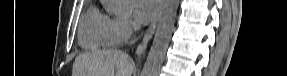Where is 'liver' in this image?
Wrapping results in <instances>:
<instances>
[{"instance_id":"liver-1","label":"liver","mask_w":287,"mask_h":76,"mask_svg":"<svg viewBox=\"0 0 287 76\" xmlns=\"http://www.w3.org/2000/svg\"><path fill=\"white\" fill-rule=\"evenodd\" d=\"M133 70L134 63L126 53L107 49L77 57L73 76H131Z\"/></svg>"}]
</instances>
